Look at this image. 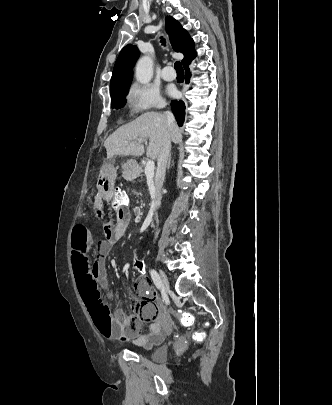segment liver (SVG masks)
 Listing matches in <instances>:
<instances>
[{"label":"liver","mask_w":332,"mask_h":405,"mask_svg":"<svg viewBox=\"0 0 332 405\" xmlns=\"http://www.w3.org/2000/svg\"><path fill=\"white\" fill-rule=\"evenodd\" d=\"M169 132L174 143L182 141L181 130L174 124L172 130L168 129L166 116L158 112H146L133 122L120 127L111 134L104 143L107 159L114 156H141L145 152L144 145L138 139H149L146 155L157 159L161 150L165 134Z\"/></svg>","instance_id":"1"}]
</instances>
